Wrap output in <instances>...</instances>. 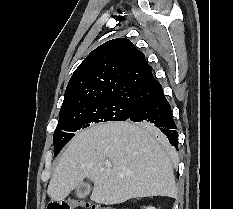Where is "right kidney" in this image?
<instances>
[{
  "instance_id": "right-kidney-1",
  "label": "right kidney",
  "mask_w": 233,
  "mask_h": 209,
  "mask_svg": "<svg viewBox=\"0 0 233 209\" xmlns=\"http://www.w3.org/2000/svg\"><path fill=\"white\" fill-rule=\"evenodd\" d=\"M146 209H156L155 207H147Z\"/></svg>"
}]
</instances>
